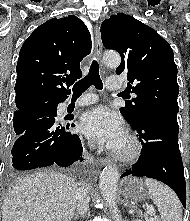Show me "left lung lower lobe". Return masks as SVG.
Wrapping results in <instances>:
<instances>
[{
	"instance_id": "left-lung-lower-lobe-1",
	"label": "left lung lower lobe",
	"mask_w": 190,
	"mask_h": 221,
	"mask_svg": "<svg viewBox=\"0 0 190 221\" xmlns=\"http://www.w3.org/2000/svg\"><path fill=\"white\" fill-rule=\"evenodd\" d=\"M142 143V155L127 175L157 179L171 187L186 207L183 163L178 145L177 113L152 109L142 113L134 124Z\"/></svg>"
}]
</instances>
